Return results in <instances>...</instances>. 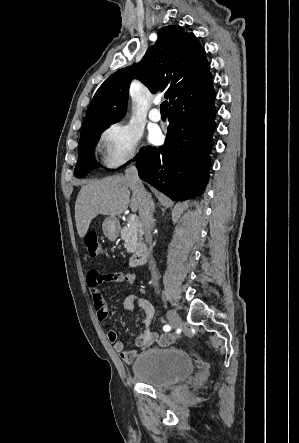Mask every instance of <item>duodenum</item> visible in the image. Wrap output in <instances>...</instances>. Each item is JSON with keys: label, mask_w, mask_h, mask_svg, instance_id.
<instances>
[{"label": "duodenum", "mask_w": 299, "mask_h": 443, "mask_svg": "<svg viewBox=\"0 0 299 443\" xmlns=\"http://www.w3.org/2000/svg\"><path fill=\"white\" fill-rule=\"evenodd\" d=\"M147 258V247L140 245L129 259V266L137 267L143 265Z\"/></svg>", "instance_id": "410a0bca"}]
</instances>
